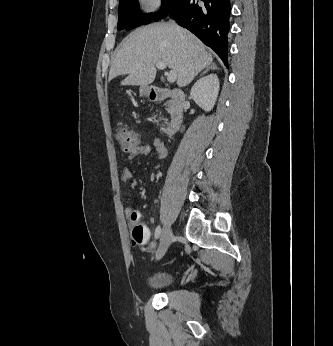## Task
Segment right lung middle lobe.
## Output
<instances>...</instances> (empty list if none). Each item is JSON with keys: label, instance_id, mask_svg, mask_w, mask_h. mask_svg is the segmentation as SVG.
<instances>
[{"label": "right lung middle lobe", "instance_id": "1", "mask_svg": "<svg viewBox=\"0 0 333 346\" xmlns=\"http://www.w3.org/2000/svg\"><path fill=\"white\" fill-rule=\"evenodd\" d=\"M180 0H163L162 8L157 13L142 14L138 11V1L137 0H119L118 9V30H131L141 24H148L153 20H159L166 17L170 10L179 2Z\"/></svg>", "mask_w": 333, "mask_h": 346}]
</instances>
